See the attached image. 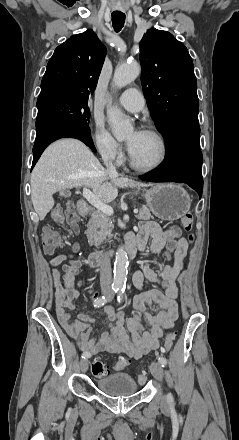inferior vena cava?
Segmentation results:
<instances>
[{"mask_svg":"<svg viewBox=\"0 0 239 440\" xmlns=\"http://www.w3.org/2000/svg\"><path fill=\"white\" fill-rule=\"evenodd\" d=\"M104 164L109 174H117L116 168L109 156H103ZM112 274H111V262L109 256L104 254L101 260L100 266V286L103 294H112L111 290Z\"/></svg>","mask_w":239,"mask_h":440,"instance_id":"obj_1","label":"inferior vena cava"}]
</instances>
